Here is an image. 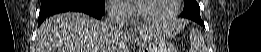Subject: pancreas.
Wrapping results in <instances>:
<instances>
[{
    "label": "pancreas",
    "mask_w": 261,
    "mask_h": 52,
    "mask_svg": "<svg viewBox=\"0 0 261 52\" xmlns=\"http://www.w3.org/2000/svg\"><path fill=\"white\" fill-rule=\"evenodd\" d=\"M169 51H170V52H173V51H174V49H173V48H169Z\"/></svg>",
    "instance_id": "1"
}]
</instances>
